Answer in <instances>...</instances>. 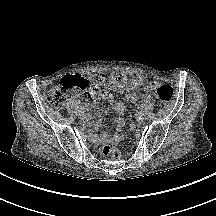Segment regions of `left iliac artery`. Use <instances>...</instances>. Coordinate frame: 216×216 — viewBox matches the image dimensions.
I'll use <instances>...</instances> for the list:
<instances>
[{
  "label": "left iliac artery",
  "mask_w": 216,
  "mask_h": 216,
  "mask_svg": "<svg viewBox=\"0 0 216 216\" xmlns=\"http://www.w3.org/2000/svg\"><path fill=\"white\" fill-rule=\"evenodd\" d=\"M140 107H138V109H139ZM139 113H140V111H137V113H136V117L137 118H139Z\"/></svg>",
  "instance_id": "obj_1"
}]
</instances>
